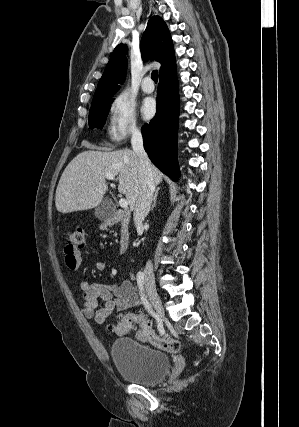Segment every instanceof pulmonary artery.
Returning a JSON list of instances; mask_svg holds the SVG:
<instances>
[{
    "label": "pulmonary artery",
    "instance_id": "pulmonary-artery-1",
    "mask_svg": "<svg viewBox=\"0 0 299 427\" xmlns=\"http://www.w3.org/2000/svg\"><path fill=\"white\" fill-rule=\"evenodd\" d=\"M142 90L145 93H152L154 91V85L152 83L151 77L146 76L142 82Z\"/></svg>",
    "mask_w": 299,
    "mask_h": 427
}]
</instances>
